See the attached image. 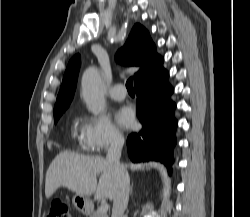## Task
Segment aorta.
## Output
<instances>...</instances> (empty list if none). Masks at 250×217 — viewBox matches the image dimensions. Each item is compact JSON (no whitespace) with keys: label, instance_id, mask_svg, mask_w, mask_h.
<instances>
[{"label":"aorta","instance_id":"1","mask_svg":"<svg viewBox=\"0 0 250 217\" xmlns=\"http://www.w3.org/2000/svg\"><path fill=\"white\" fill-rule=\"evenodd\" d=\"M104 86L96 68L86 69L82 76V97L88 110L99 115L105 109Z\"/></svg>","mask_w":250,"mask_h":217}]
</instances>
